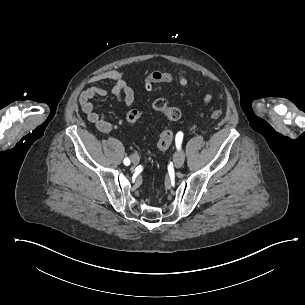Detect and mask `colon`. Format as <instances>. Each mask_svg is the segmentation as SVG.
Listing matches in <instances>:
<instances>
[{"instance_id": "1", "label": "colon", "mask_w": 305, "mask_h": 305, "mask_svg": "<svg viewBox=\"0 0 305 305\" xmlns=\"http://www.w3.org/2000/svg\"><path fill=\"white\" fill-rule=\"evenodd\" d=\"M171 81L178 83L181 80L180 75L174 74L173 71L168 70L164 73L160 71H155L152 70L149 72L147 78H144L142 80V85L144 87H149L150 85L155 84L156 82H161L163 81ZM147 110L153 111V112H158V113H163L168 121L174 122L177 121L180 118V111L172 106H169L168 103L165 100L162 99H157L152 101L150 104L147 106ZM144 113V110L142 109H133L130 110L126 116L125 120L127 123L134 124L137 123L142 114ZM222 116V111L220 110H214L211 113V117L213 119H219ZM173 138H174V133L170 130H165L162 131L159 134L158 140H157V148L158 150H166L168 149L172 144H173Z\"/></svg>"}]
</instances>
